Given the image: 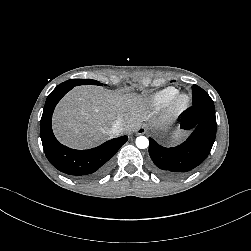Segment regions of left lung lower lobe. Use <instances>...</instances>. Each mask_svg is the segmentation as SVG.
<instances>
[{
  "label": "left lung lower lobe",
  "instance_id": "1",
  "mask_svg": "<svg viewBox=\"0 0 251 251\" xmlns=\"http://www.w3.org/2000/svg\"><path fill=\"white\" fill-rule=\"evenodd\" d=\"M180 127L193 132L185 142L176 147L165 148L149 138V154L154 168L158 174L168 178H178L187 174L209 155L216 136L213 102H193Z\"/></svg>",
  "mask_w": 251,
  "mask_h": 251
}]
</instances>
